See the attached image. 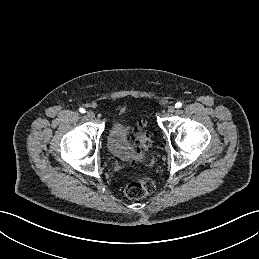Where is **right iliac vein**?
Returning <instances> with one entry per match:
<instances>
[{
    "label": "right iliac vein",
    "instance_id": "63e3f726",
    "mask_svg": "<svg viewBox=\"0 0 259 259\" xmlns=\"http://www.w3.org/2000/svg\"><path fill=\"white\" fill-rule=\"evenodd\" d=\"M86 115H87V117L90 118V119H93V118L95 117V114H94V112H92V111H87Z\"/></svg>",
    "mask_w": 259,
    "mask_h": 259
}]
</instances>
